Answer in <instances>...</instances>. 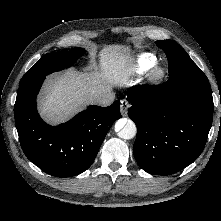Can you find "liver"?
Masks as SVG:
<instances>
[{
  "instance_id": "6515ba94",
  "label": "liver",
  "mask_w": 221,
  "mask_h": 221,
  "mask_svg": "<svg viewBox=\"0 0 221 221\" xmlns=\"http://www.w3.org/2000/svg\"><path fill=\"white\" fill-rule=\"evenodd\" d=\"M101 72L81 73L68 70L48 79L39 98V111L51 124L67 120L98 96L111 92L115 81L130 64L127 50L109 46L101 51Z\"/></svg>"
}]
</instances>
